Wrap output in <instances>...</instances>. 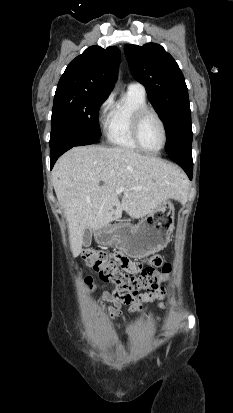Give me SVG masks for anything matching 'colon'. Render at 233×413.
Listing matches in <instances>:
<instances>
[{
  "label": "colon",
  "mask_w": 233,
  "mask_h": 413,
  "mask_svg": "<svg viewBox=\"0 0 233 413\" xmlns=\"http://www.w3.org/2000/svg\"><path fill=\"white\" fill-rule=\"evenodd\" d=\"M82 258L101 280L113 283L118 291L126 294H136L141 290L156 291L171 271L169 264L160 262L156 265L161 270L154 266H146L139 270V275L130 276L121 271L106 250H84ZM85 283L92 288L93 282L90 276L85 277Z\"/></svg>",
  "instance_id": "5ec220e1"
}]
</instances>
